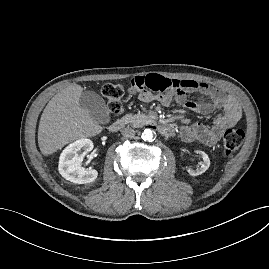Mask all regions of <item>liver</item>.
<instances>
[{
  "label": "liver",
  "mask_w": 269,
  "mask_h": 269,
  "mask_svg": "<svg viewBox=\"0 0 269 269\" xmlns=\"http://www.w3.org/2000/svg\"><path fill=\"white\" fill-rule=\"evenodd\" d=\"M82 91L80 85L70 84L45 107L38 129V145L43 155H51L70 142L102 132L99 123L80 107Z\"/></svg>",
  "instance_id": "liver-1"
}]
</instances>
